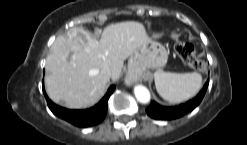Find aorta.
I'll return each mask as SVG.
<instances>
[{"mask_svg":"<svg viewBox=\"0 0 247 145\" xmlns=\"http://www.w3.org/2000/svg\"><path fill=\"white\" fill-rule=\"evenodd\" d=\"M134 94L136 99L142 103V104H147L150 102L151 95L149 90L143 86V85H136L134 87Z\"/></svg>","mask_w":247,"mask_h":145,"instance_id":"aorta-1","label":"aorta"}]
</instances>
